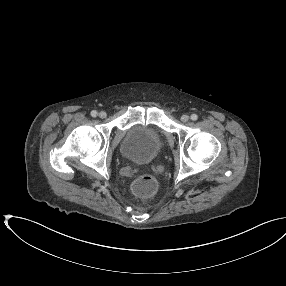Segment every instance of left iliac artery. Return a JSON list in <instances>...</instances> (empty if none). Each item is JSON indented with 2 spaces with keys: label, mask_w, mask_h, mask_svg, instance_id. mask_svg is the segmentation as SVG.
Wrapping results in <instances>:
<instances>
[{
  "label": "left iliac artery",
  "mask_w": 286,
  "mask_h": 286,
  "mask_svg": "<svg viewBox=\"0 0 286 286\" xmlns=\"http://www.w3.org/2000/svg\"><path fill=\"white\" fill-rule=\"evenodd\" d=\"M191 119H192L193 121H195V120L198 119V116H197L196 114H192V115H191Z\"/></svg>",
  "instance_id": "44dca946"
}]
</instances>
